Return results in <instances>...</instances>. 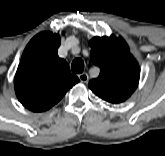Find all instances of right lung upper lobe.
Instances as JSON below:
<instances>
[{"mask_svg":"<svg viewBox=\"0 0 165 156\" xmlns=\"http://www.w3.org/2000/svg\"><path fill=\"white\" fill-rule=\"evenodd\" d=\"M59 46V34L45 31L32 38L22 55L14 87L22 105L33 112L50 109L79 82L59 58Z\"/></svg>","mask_w":165,"mask_h":156,"instance_id":"right-lung-upper-lobe-1","label":"right lung upper lobe"}]
</instances>
